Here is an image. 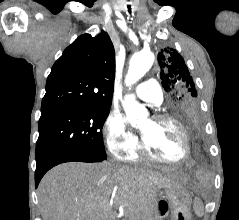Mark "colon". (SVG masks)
<instances>
[{
    "mask_svg": "<svg viewBox=\"0 0 239 220\" xmlns=\"http://www.w3.org/2000/svg\"><path fill=\"white\" fill-rule=\"evenodd\" d=\"M160 211H161V214H163V215L167 213V211H168V205H167L166 202H161V203H160ZM180 220H185V218L182 217Z\"/></svg>",
    "mask_w": 239,
    "mask_h": 220,
    "instance_id": "5ec220e1",
    "label": "colon"
}]
</instances>
